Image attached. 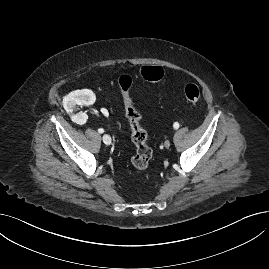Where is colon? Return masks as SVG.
<instances>
[{
    "mask_svg": "<svg viewBox=\"0 0 269 269\" xmlns=\"http://www.w3.org/2000/svg\"><path fill=\"white\" fill-rule=\"evenodd\" d=\"M143 79L151 82H157L163 77V70L158 66H145L141 70ZM121 92L125 115L131 128V137L135 144L136 151L132 157V165L138 171H144L148 168L152 157V150L147 145V133L141 125V115L134 106L131 97L132 79L128 75H122L117 81ZM184 95L188 103L195 105L200 99V90L194 84H188L184 89Z\"/></svg>",
    "mask_w": 269,
    "mask_h": 269,
    "instance_id": "obj_1",
    "label": "colon"
}]
</instances>
